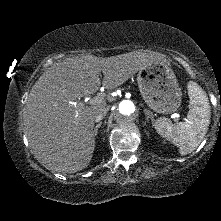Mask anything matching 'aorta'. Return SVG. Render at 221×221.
I'll list each match as a JSON object with an SVG mask.
<instances>
[{"mask_svg":"<svg viewBox=\"0 0 221 221\" xmlns=\"http://www.w3.org/2000/svg\"><path fill=\"white\" fill-rule=\"evenodd\" d=\"M137 115V108L131 100L120 101L114 109L115 121L120 125L132 123Z\"/></svg>","mask_w":221,"mask_h":221,"instance_id":"obj_1","label":"aorta"}]
</instances>
